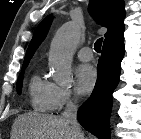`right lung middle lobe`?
I'll use <instances>...</instances> for the list:
<instances>
[{"mask_svg": "<svg viewBox=\"0 0 141 139\" xmlns=\"http://www.w3.org/2000/svg\"><path fill=\"white\" fill-rule=\"evenodd\" d=\"M27 66H22V72L20 73L19 77H18V81H17V92L20 94L21 89H22V80H23V76H24V70Z\"/></svg>", "mask_w": 141, "mask_h": 139, "instance_id": "obj_1", "label": "right lung middle lobe"}]
</instances>
